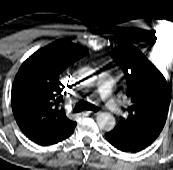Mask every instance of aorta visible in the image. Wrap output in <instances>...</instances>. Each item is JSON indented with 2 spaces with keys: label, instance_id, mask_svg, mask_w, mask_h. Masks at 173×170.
<instances>
[{
  "label": "aorta",
  "instance_id": "1",
  "mask_svg": "<svg viewBox=\"0 0 173 170\" xmlns=\"http://www.w3.org/2000/svg\"><path fill=\"white\" fill-rule=\"evenodd\" d=\"M93 79H89L86 81L88 85H91ZM97 125L101 130L111 131L115 127V118L112 114L105 112L101 113L97 116Z\"/></svg>",
  "mask_w": 173,
  "mask_h": 170
}]
</instances>
